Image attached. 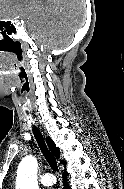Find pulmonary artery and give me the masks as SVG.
I'll return each instance as SVG.
<instances>
[{
  "label": "pulmonary artery",
  "mask_w": 124,
  "mask_h": 189,
  "mask_svg": "<svg viewBox=\"0 0 124 189\" xmlns=\"http://www.w3.org/2000/svg\"><path fill=\"white\" fill-rule=\"evenodd\" d=\"M40 182L45 186H51L55 184L56 178L51 173H45L40 177Z\"/></svg>",
  "instance_id": "1"
}]
</instances>
